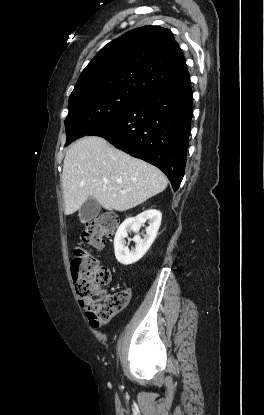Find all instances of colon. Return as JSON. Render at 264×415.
Returning a JSON list of instances; mask_svg holds the SVG:
<instances>
[{"label":"colon","mask_w":264,"mask_h":415,"mask_svg":"<svg viewBox=\"0 0 264 415\" xmlns=\"http://www.w3.org/2000/svg\"><path fill=\"white\" fill-rule=\"evenodd\" d=\"M119 218L116 214H105L85 224L81 240L88 248L75 252L71 260V271L80 274L76 284L80 304L94 326L107 324L129 302V291L108 293L107 285L111 278L108 268L100 266L93 249L103 247L105 239L113 235Z\"/></svg>","instance_id":"colon-1"}]
</instances>
